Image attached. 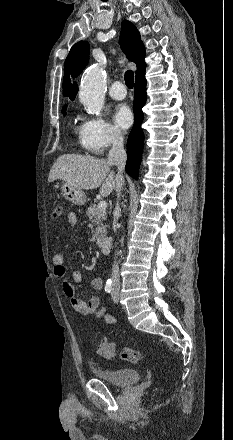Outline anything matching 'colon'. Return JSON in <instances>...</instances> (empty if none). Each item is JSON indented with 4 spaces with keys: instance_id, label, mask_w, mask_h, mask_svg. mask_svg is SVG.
<instances>
[{
    "instance_id": "1",
    "label": "colon",
    "mask_w": 233,
    "mask_h": 440,
    "mask_svg": "<svg viewBox=\"0 0 233 440\" xmlns=\"http://www.w3.org/2000/svg\"><path fill=\"white\" fill-rule=\"evenodd\" d=\"M63 214V205L60 202H55L52 208L53 218H59ZM97 353L106 359H113L118 356L121 360L138 362L141 359V352L132 348L122 347L118 348L115 343L101 340L96 344Z\"/></svg>"
}]
</instances>
